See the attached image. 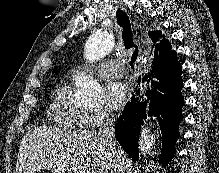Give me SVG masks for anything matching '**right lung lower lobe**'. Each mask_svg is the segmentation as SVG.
Returning <instances> with one entry per match:
<instances>
[{"mask_svg":"<svg viewBox=\"0 0 219 173\" xmlns=\"http://www.w3.org/2000/svg\"><path fill=\"white\" fill-rule=\"evenodd\" d=\"M181 70L175 51L153 63L152 70L142 80L149 84L145 94L147 99L140 101L139 97L133 96L118 118L115 137L133 160H138L140 125L147 116H154L160 126L162 146L159 163L165 167L175 154L178 125L183 120Z\"/></svg>","mask_w":219,"mask_h":173,"instance_id":"right-lung-lower-lobe-1","label":"right lung lower lobe"}]
</instances>
